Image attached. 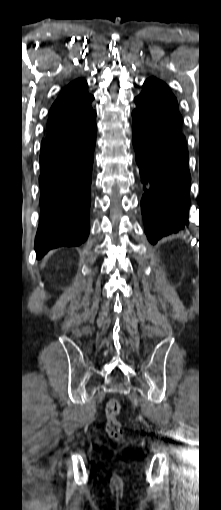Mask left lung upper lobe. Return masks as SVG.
Listing matches in <instances>:
<instances>
[{
	"label": "left lung upper lobe",
	"instance_id": "1",
	"mask_svg": "<svg viewBox=\"0 0 221 510\" xmlns=\"http://www.w3.org/2000/svg\"><path fill=\"white\" fill-rule=\"evenodd\" d=\"M135 102L137 110L150 121L163 131L185 141L180 130L183 119L178 110L177 99L163 81L156 78L147 79Z\"/></svg>",
	"mask_w": 221,
	"mask_h": 510
}]
</instances>
